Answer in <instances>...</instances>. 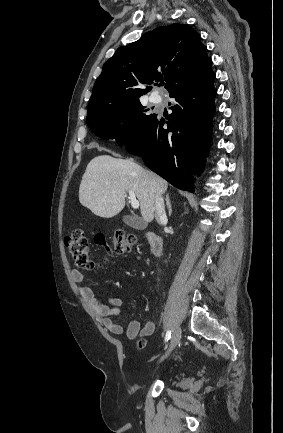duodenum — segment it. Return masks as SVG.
I'll return each instance as SVG.
<instances>
[{"label":"duodenum","instance_id":"duodenum-1","mask_svg":"<svg viewBox=\"0 0 283 433\" xmlns=\"http://www.w3.org/2000/svg\"><path fill=\"white\" fill-rule=\"evenodd\" d=\"M145 237L149 243L152 254L156 257L161 256L164 250L163 239L153 232L146 233Z\"/></svg>","mask_w":283,"mask_h":433}]
</instances>
